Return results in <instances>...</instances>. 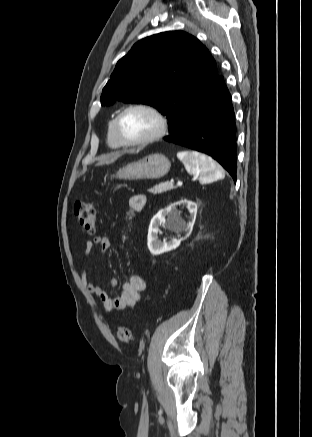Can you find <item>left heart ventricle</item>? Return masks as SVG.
Returning a JSON list of instances; mask_svg holds the SVG:
<instances>
[{"instance_id": "b2bd125f", "label": "left heart ventricle", "mask_w": 312, "mask_h": 437, "mask_svg": "<svg viewBox=\"0 0 312 437\" xmlns=\"http://www.w3.org/2000/svg\"><path fill=\"white\" fill-rule=\"evenodd\" d=\"M158 127L156 118L146 110L134 109L121 120V130L126 138L139 140L152 135Z\"/></svg>"}]
</instances>
